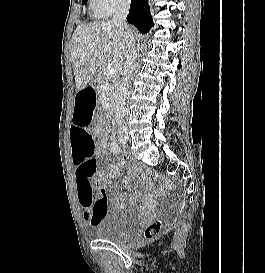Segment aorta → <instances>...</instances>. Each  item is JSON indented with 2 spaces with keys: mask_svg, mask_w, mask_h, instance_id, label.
<instances>
[{
  "mask_svg": "<svg viewBox=\"0 0 265 273\" xmlns=\"http://www.w3.org/2000/svg\"><path fill=\"white\" fill-rule=\"evenodd\" d=\"M128 93V86L126 83L119 86L113 95V112L115 121L119 124L125 117V100Z\"/></svg>",
  "mask_w": 265,
  "mask_h": 273,
  "instance_id": "obj_1",
  "label": "aorta"
}]
</instances>
